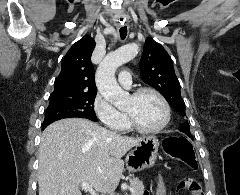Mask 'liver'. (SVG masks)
<instances>
[{"label":"liver","mask_w":240,"mask_h":195,"mask_svg":"<svg viewBox=\"0 0 240 195\" xmlns=\"http://www.w3.org/2000/svg\"><path fill=\"white\" fill-rule=\"evenodd\" d=\"M143 137L120 135L84 117H66L48 125L39 145V195H82L83 181L96 191L113 193L121 159Z\"/></svg>","instance_id":"6515ba94"}]
</instances>
